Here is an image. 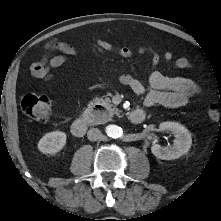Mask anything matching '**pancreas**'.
<instances>
[{"label":"pancreas","mask_w":221,"mask_h":221,"mask_svg":"<svg viewBox=\"0 0 221 221\" xmlns=\"http://www.w3.org/2000/svg\"><path fill=\"white\" fill-rule=\"evenodd\" d=\"M110 102L111 101L109 98L95 99L94 103H102L106 106L108 110V116L103 118V117H100L97 112H91L86 116L85 118L86 122L89 125H97V124H100L109 120L114 114H118V109L112 104H110Z\"/></svg>","instance_id":"cf45deb5"}]
</instances>
